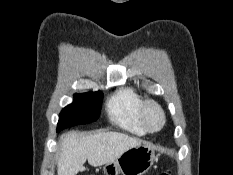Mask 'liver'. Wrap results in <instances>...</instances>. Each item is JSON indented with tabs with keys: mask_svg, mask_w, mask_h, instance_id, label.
<instances>
[{
	"mask_svg": "<svg viewBox=\"0 0 233 175\" xmlns=\"http://www.w3.org/2000/svg\"><path fill=\"white\" fill-rule=\"evenodd\" d=\"M61 152L58 175H76L85 171L86 160L97 167L119 158L128 149L141 144L138 138L119 132H97L85 135L68 132L60 137Z\"/></svg>",
	"mask_w": 233,
	"mask_h": 175,
	"instance_id": "obj_1",
	"label": "liver"
}]
</instances>
